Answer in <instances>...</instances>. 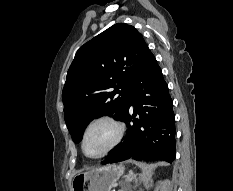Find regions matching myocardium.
I'll list each match as a JSON object with an SVG mask.
<instances>
[{"instance_id":"f54148a6","label":"myocardium","mask_w":233,"mask_h":191,"mask_svg":"<svg viewBox=\"0 0 233 191\" xmlns=\"http://www.w3.org/2000/svg\"><path fill=\"white\" fill-rule=\"evenodd\" d=\"M98 123L110 124L115 130V136L112 142L110 143V145L101 154L92 156V155H89L85 149V140H86V135L89 129ZM124 133H125V127L123 123L119 121L118 119L112 116H109V115H102V116L95 117L91 121L88 122V124L85 126L83 130L82 137H81L82 152L86 157L90 159H101L105 157L107 154H109L112 150H114L121 143L124 137Z\"/></svg>"}]
</instances>
